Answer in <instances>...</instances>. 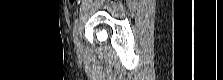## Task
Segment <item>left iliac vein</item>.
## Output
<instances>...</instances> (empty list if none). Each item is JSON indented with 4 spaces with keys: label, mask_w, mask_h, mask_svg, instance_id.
Listing matches in <instances>:
<instances>
[{
    "label": "left iliac vein",
    "mask_w": 223,
    "mask_h": 80,
    "mask_svg": "<svg viewBox=\"0 0 223 80\" xmlns=\"http://www.w3.org/2000/svg\"><path fill=\"white\" fill-rule=\"evenodd\" d=\"M74 43H75V45H76L77 47H79L80 42H79V39H78V34H77V36H74Z\"/></svg>",
    "instance_id": "4c4485c4"
}]
</instances>
